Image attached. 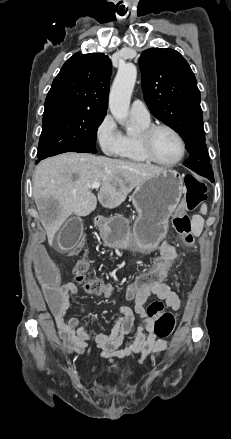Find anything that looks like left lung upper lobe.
Instances as JSON below:
<instances>
[{
  "label": "left lung upper lobe",
  "instance_id": "1",
  "mask_svg": "<svg viewBox=\"0 0 231 439\" xmlns=\"http://www.w3.org/2000/svg\"><path fill=\"white\" fill-rule=\"evenodd\" d=\"M139 66L150 112L184 139L190 154L184 165L212 181L200 91L187 61L176 50L150 48L140 56Z\"/></svg>",
  "mask_w": 231,
  "mask_h": 439
}]
</instances>
